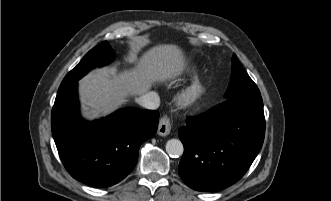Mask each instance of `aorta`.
Listing matches in <instances>:
<instances>
[{
  "instance_id": "obj_1",
  "label": "aorta",
  "mask_w": 331,
  "mask_h": 201,
  "mask_svg": "<svg viewBox=\"0 0 331 201\" xmlns=\"http://www.w3.org/2000/svg\"><path fill=\"white\" fill-rule=\"evenodd\" d=\"M166 152L171 157H180L184 152L183 144L178 139H170L166 143Z\"/></svg>"
}]
</instances>
